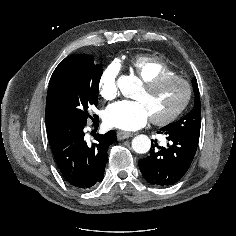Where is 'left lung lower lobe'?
<instances>
[{"mask_svg":"<svg viewBox=\"0 0 236 236\" xmlns=\"http://www.w3.org/2000/svg\"><path fill=\"white\" fill-rule=\"evenodd\" d=\"M158 133L167 136V147H160L157 140H152L150 155L139 160V168L150 184L173 185L189 169L198 147L199 137L166 127L161 128Z\"/></svg>","mask_w":236,"mask_h":236,"instance_id":"1","label":"left lung lower lobe"}]
</instances>
